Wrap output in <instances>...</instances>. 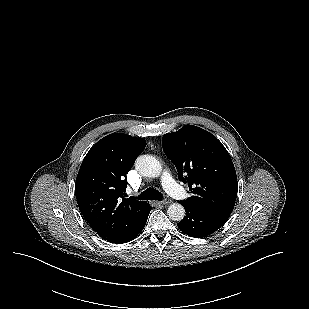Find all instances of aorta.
<instances>
[{"instance_id":"obj_1","label":"aorta","mask_w":309,"mask_h":309,"mask_svg":"<svg viewBox=\"0 0 309 309\" xmlns=\"http://www.w3.org/2000/svg\"><path fill=\"white\" fill-rule=\"evenodd\" d=\"M136 169L146 177L155 178L162 172L161 163L151 155H141L135 163ZM167 214L173 221H181L185 216V209L179 203H173L168 207Z\"/></svg>"}]
</instances>
